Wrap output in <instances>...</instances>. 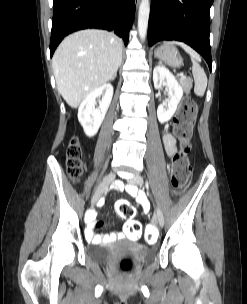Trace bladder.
Segmentation results:
<instances>
[{
  "label": "bladder",
  "mask_w": 247,
  "mask_h": 304,
  "mask_svg": "<svg viewBox=\"0 0 247 304\" xmlns=\"http://www.w3.org/2000/svg\"><path fill=\"white\" fill-rule=\"evenodd\" d=\"M137 251L142 258L146 259L153 257L155 254L151 248H138ZM111 252V246L104 244L92 245L87 249L88 256L97 262H105L110 257Z\"/></svg>",
  "instance_id": "bladder-1"
}]
</instances>
